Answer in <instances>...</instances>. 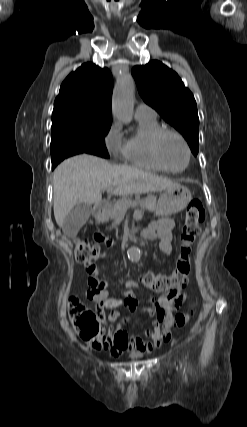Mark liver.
<instances>
[{
    "mask_svg": "<svg viewBox=\"0 0 247 427\" xmlns=\"http://www.w3.org/2000/svg\"><path fill=\"white\" fill-rule=\"evenodd\" d=\"M53 209L62 227L79 203L97 204L103 190L115 195L162 191L178 185L140 168L112 165L105 159L81 154L64 160L54 171Z\"/></svg>",
    "mask_w": 247,
    "mask_h": 427,
    "instance_id": "liver-1",
    "label": "liver"
}]
</instances>
